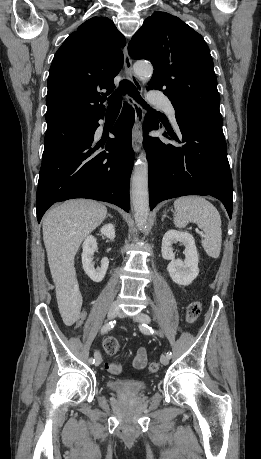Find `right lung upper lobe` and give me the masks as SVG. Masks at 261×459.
I'll return each mask as SVG.
<instances>
[{
	"instance_id": "cb5924a9",
	"label": "right lung upper lobe",
	"mask_w": 261,
	"mask_h": 459,
	"mask_svg": "<svg viewBox=\"0 0 261 459\" xmlns=\"http://www.w3.org/2000/svg\"><path fill=\"white\" fill-rule=\"evenodd\" d=\"M124 36L105 17L80 25L56 52L49 71L47 126L66 120L95 121L104 116L106 96L123 66Z\"/></svg>"
}]
</instances>
